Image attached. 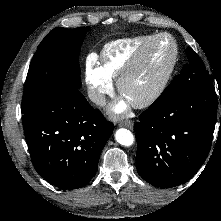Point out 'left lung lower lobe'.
<instances>
[{"label":"left lung lower lobe","mask_w":221,"mask_h":221,"mask_svg":"<svg viewBox=\"0 0 221 221\" xmlns=\"http://www.w3.org/2000/svg\"><path fill=\"white\" fill-rule=\"evenodd\" d=\"M218 101L213 83L162 93L134 126L139 175L163 188L188 181L210 151Z\"/></svg>","instance_id":"left-lung-lower-lobe-1"}]
</instances>
